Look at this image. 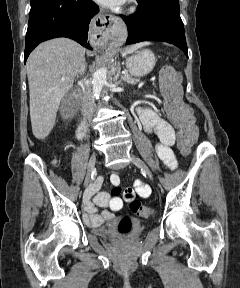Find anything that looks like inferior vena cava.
<instances>
[{"instance_id":"obj_1","label":"inferior vena cava","mask_w":240,"mask_h":288,"mask_svg":"<svg viewBox=\"0 0 240 288\" xmlns=\"http://www.w3.org/2000/svg\"><path fill=\"white\" fill-rule=\"evenodd\" d=\"M82 87V111L87 119H91L94 113V101L90 85L86 80L80 82Z\"/></svg>"}]
</instances>
